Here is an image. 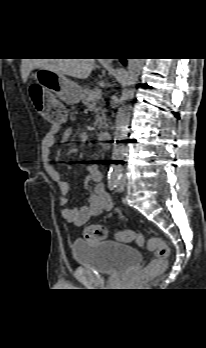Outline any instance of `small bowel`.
Returning a JSON list of instances; mask_svg holds the SVG:
<instances>
[{"mask_svg": "<svg viewBox=\"0 0 206 348\" xmlns=\"http://www.w3.org/2000/svg\"><path fill=\"white\" fill-rule=\"evenodd\" d=\"M60 130L61 127L58 125H52L49 128L41 142V158L47 174L58 185L60 192L59 202L63 206V217L76 225H83L91 217L98 216L102 212L110 210L113 207V202L101 184L102 174L99 167L97 165H89L87 167L85 183L86 185L96 183V187L89 195L87 205L79 209L66 207L70 186L66 181L61 179L60 173L50 163L51 148L58 142L66 141L72 131L71 128H66L60 134Z\"/></svg>", "mask_w": 206, "mask_h": 348, "instance_id": "obj_1", "label": "small bowel"}]
</instances>
